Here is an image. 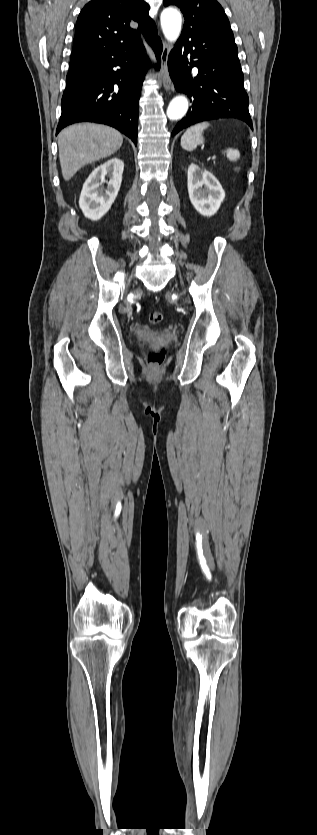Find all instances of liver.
I'll return each mask as SVG.
<instances>
[{
    "label": "liver",
    "mask_w": 317,
    "mask_h": 835,
    "mask_svg": "<svg viewBox=\"0 0 317 835\" xmlns=\"http://www.w3.org/2000/svg\"><path fill=\"white\" fill-rule=\"evenodd\" d=\"M123 137L116 129L101 124H75L58 135L63 178L68 181L86 164L117 152Z\"/></svg>",
    "instance_id": "6515ba94"
}]
</instances>
